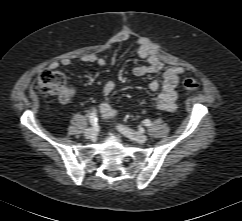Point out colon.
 Listing matches in <instances>:
<instances>
[{
  "mask_svg": "<svg viewBox=\"0 0 242 221\" xmlns=\"http://www.w3.org/2000/svg\"><path fill=\"white\" fill-rule=\"evenodd\" d=\"M37 86L41 92L56 95L63 101L68 98L69 94L66 89V79L64 74L59 70H42L37 79ZM182 86L186 90H194L199 84L193 77H184L182 79Z\"/></svg>",
  "mask_w": 242,
  "mask_h": 221,
  "instance_id": "1",
  "label": "colon"
}]
</instances>
